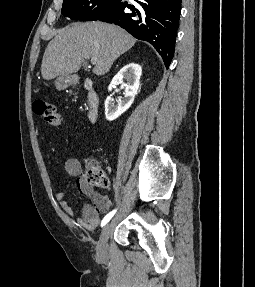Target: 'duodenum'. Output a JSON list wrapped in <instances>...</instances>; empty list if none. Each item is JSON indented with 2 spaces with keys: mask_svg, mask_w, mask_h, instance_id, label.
Instances as JSON below:
<instances>
[{
  "mask_svg": "<svg viewBox=\"0 0 255 287\" xmlns=\"http://www.w3.org/2000/svg\"><path fill=\"white\" fill-rule=\"evenodd\" d=\"M85 87L87 89V118L91 123H96L99 117V95L89 84Z\"/></svg>",
  "mask_w": 255,
  "mask_h": 287,
  "instance_id": "410a0bca",
  "label": "duodenum"
}]
</instances>
